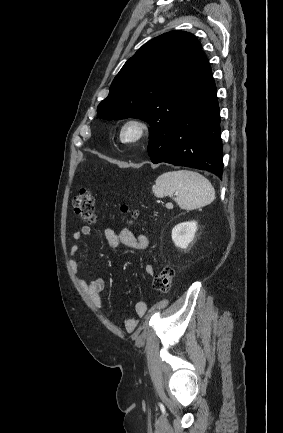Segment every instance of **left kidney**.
I'll use <instances>...</instances> for the list:
<instances>
[{
    "label": "left kidney",
    "instance_id": "1",
    "mask_svg": "<svg viewBox=\"0 0 283 433\" xmlns=\"http://www.w3.org/2000/svg\"><path fill=\"white\" fill-rule=\"evenodd\" d=\"M196 230V221L183 222L176 225L172 229V240L174 244L182 249L187 248L188 245L193 241Z\"/></svg>",
    "mask_w": 283,
    "mask_h": 433
}]
</instances>
